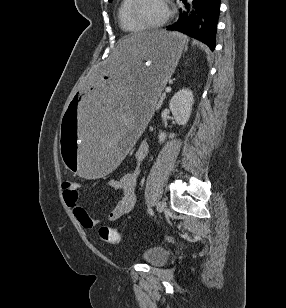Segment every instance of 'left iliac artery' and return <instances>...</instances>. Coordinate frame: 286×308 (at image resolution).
Here are the masks:
<instances>
[{
    "label": "left iliac artery",
    "mask_w": 286,
    "mask_h": 308,
    "mask_svg": "<svg viewBox=\"0 0 286 308\" xmlns=\"http://www.w3.org/2000/svg\"><path fill=\"white\" fill-rule=\"evenodd\" d=\"M148 212H149L150 215L154 214V212H153V210L151 208L148 209Z\"/></svg>",
    "instance_id": "left-iliac-artery-1"
}]
</instances>
